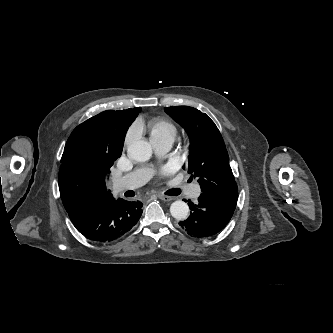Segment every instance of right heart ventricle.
<instances>
[{"instance_id":"obj_1","label":"right heart ventricle","mask_w":333,"mask_h":333,"mask_svg":"<svg viewBox=\"0 0 333 333\" xmlns=\"http://www.w3.org/2000/svg\"><path fill=\"white\" fill-rule=\"evenodd\" d=\"M176 134H177L176 127L168 120L157 119L153 121L150 125L151 139L171 138L174 140Z\"/></svg>"}]
</instances>
